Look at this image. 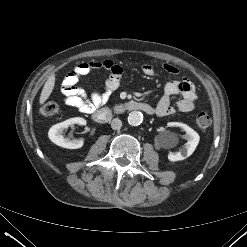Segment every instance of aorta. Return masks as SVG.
I'll list each match as a JSON object with an SVG mask.
<instances>
[{"label": "aorta", "mask_w": 247, "mask_h": 247, "mask_svg": "<svg viewBox=\"0 0 247 247\" xmlns=\"http://www.w3.org/2000/svg\"><path fill=\"white\" fill-rule=\"evenodd\" d=\"M143 122V114L140 111H132L128 115V123L131 126H139Z\"/></svg>", "instance_id": "aorta-1"}]
</instances>
